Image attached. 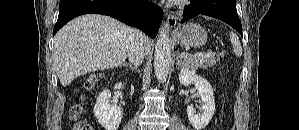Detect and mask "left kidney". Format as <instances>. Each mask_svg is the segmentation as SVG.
I'll list each match as a JSON object with an SVG mask.
<instances>
[{
  "instance_id": "left-kidney-1",
  "label": "left kidney",
  "mask_w": 299,
  "mask_h": 130,
  "mask_svg": "<svg viewBox=\"0 0 299 130\" xmlns=\"http://www.w3.org/2000/svg\"><path fill=\"white\" fill-rule=\"evenodd\" d=\"M180 84L189 86L194 84L198 95L203 102L201 114H196L194 106H187V115L190 123L195 130H202L205 128L212 119L215 111V99L212 86L210 83L201 76H198L194 70L182 68L179 74Z\"/></svg>"
}]
</instances>
